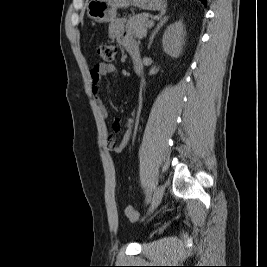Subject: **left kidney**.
<instances>
[{
	"label": "left kidney",
	"instance_id": "left-kidney-1",
	"mask_svg": "<svg viewBox=\"0 0 267 267\" xmlns=\"http://www.w3.org/2000/svg\"><path fill=\"white\" fill-rule=\"evenodd\" d=\"M185 27L183 21L179 20L167 27L163 34L162 45L166 54L178 58L182 54L185 44Z\"/></svg>",
	"mask_w": 267,
	"mask_h": 267
}]
</instances>
